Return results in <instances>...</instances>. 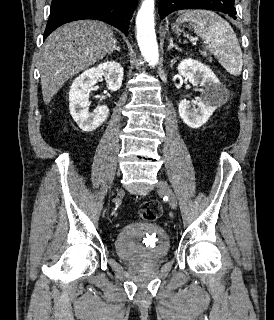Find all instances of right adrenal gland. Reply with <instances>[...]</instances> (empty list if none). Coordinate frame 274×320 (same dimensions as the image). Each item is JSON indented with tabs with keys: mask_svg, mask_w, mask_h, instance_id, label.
Masks as SVG:
<instances>
[{
	"mask_svg": "<svg viewBox=\"0 0 274 320\" xmlns=\"http://www.w3.org/2000/svg\"><path fill=\"white\" fill-rule=\"evenodd\" d=\"M113 52H120V48H118L117 42H115L114 48H113L112 52H110V54H108V56H111V54H113Z\"/></svg>",
	"mask_w": 274,
	"mask_h": 320,
	"instance_id": "2a0ac1e0",
	"label": "right adrenal gland"
}]
</instances>
